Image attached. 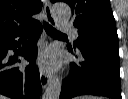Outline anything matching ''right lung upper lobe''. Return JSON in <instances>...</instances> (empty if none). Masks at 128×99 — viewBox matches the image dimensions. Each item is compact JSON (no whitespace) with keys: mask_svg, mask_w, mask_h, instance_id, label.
<instances>
[{"mask_svg":"<svg viewBox=\"0 0 128 99\" xmlns=\"http://www.w3.org/2000/svg\"><path fill=\"white\" fill-rule=\"evenodd\" d=\"M41 6L39 0H0V40L34 23Z\"/></svg>","mask_w":128,"mask_h":99,"instance_id":"1","label":"right lung upper lobe"}]
</instances>
